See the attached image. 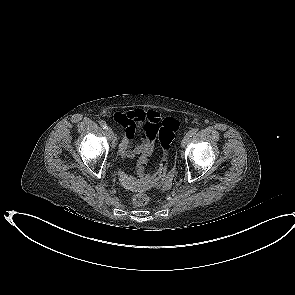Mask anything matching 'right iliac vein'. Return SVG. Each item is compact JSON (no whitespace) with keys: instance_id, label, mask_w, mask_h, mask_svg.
Listing matches in <instances>:
<instances>
[{"instance_id":"right-iliac-vein-1","label":"right iliac vein","mask_w":295,"mask_h":295,"mask_svg":"<svg viewBox=\"0 0 295 295\" xmlns=\"http://www.w3.org/2000/svg\"><path fill=\"white\" fill-rule=\"evenodd\" d=\"M107 134L109 135V136H111L112 138H114V133H113V131H112V129L110 128V127H107Z\"/></svg>"}]
</instances>
